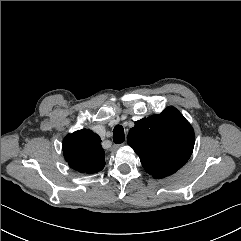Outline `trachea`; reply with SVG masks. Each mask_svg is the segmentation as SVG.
<instances>
[{"mask_svg": "<svg viewBox=\"0 0 241 241\" xmlns=\"http://www.w3.org/2000/svg\"><path fill=\"white\" fill-rule=\"evenodd\" d=\"M113 140L116 144H121L125 140L124 129L121 125L115 126L113 130Z\"/></svg>", "mask_w": 241, "mask_h": 241, "instance_id": "1", "label": "trachea"}]
</instances>
